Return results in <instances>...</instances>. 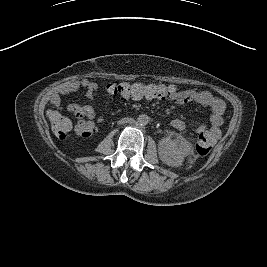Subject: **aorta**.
Wrapping results in <instances>:
<instances>
[{"instance_id":"obj_1","label":"aorta","mask_w":267,"mask_h":267,"mask_svg":"<svg viewBox=\"0 0 267 267\" xmlns=\"http://www.w3.org/2000/svg\"><path fill=\"white\" fill-rule=\"evenodd\" d=\"M149 122V117L145 114H141L137 118V124L140 126L147 125Z\"/></svg>"}]
</instances>
